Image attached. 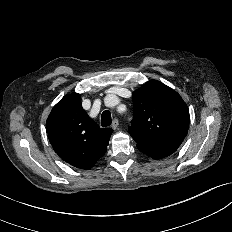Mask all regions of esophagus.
<instances>
[{
	"label": "esophagus",
	"instance_id": "34e87169",
	"mask_svg": "<svg viewBox=\"0 0 232 232\" xmlns=\"http://www.w3.org/2000/svg\"><path fill=\"white\" fill-rule=\"evenodd\" d=\"M118 125H119L118 119H114L111 127L115 130V129H117Z\"/></svg>",
	"mask_w": 232,
	"mask_h": 232
}]
</instances>
